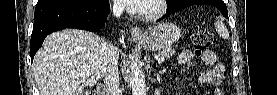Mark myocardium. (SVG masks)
<instances>
[{"label": "myocardium", "mask_w": 277, "mask_h": 95, "mask_svg": "<svg viewBox=\"0 0 277 95\" xmlns=\"http://www.w3.org/2000/svg\"><path fill=\"white\" fill-rule=\"evenodd\" d=\"M156 3V8L154 11L145 12L142 9L135 11V13L145 21H154L159 19L164 15L167 9V1L166 0H152Z\"/></svg>", "instance_id": "obj_1"}]
</instances>
